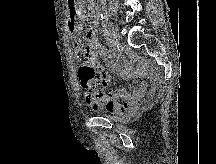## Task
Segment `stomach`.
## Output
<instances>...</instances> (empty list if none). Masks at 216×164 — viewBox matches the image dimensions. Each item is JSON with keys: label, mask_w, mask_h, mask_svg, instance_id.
<instances>
[{"label": "stomach", "mask_w": 216, "mask_h": 164, "mask_svg": "<svg viewBox=\"0 0 216 164\" xmlns=\"http://www.w3.org/2000/svg\"><path fill=\"white\" fill-rule=\"evenodd\" d=\"M68 14H79V9H68Z\"/></svg>", "instance_id": "obj_1"}]
</instances>
